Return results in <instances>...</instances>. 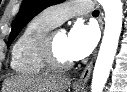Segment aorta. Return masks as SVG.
Here are the masks:
<instances>
[{
	"mask_svg": "<svg viewBox=\"0 0 127 92\" xmlns=\"http://www.w3.org/2000/svg\"><path fill=\"white\" fill-rule=\"evenodd\" d=\"M105 12V30L95 63L91 92H102L112 68L122 30L121 0H98Z\"/></svg>",
	"mask_w": 127,
	"mask_h": 92,
	"instance_id": "aorta-1",
	"label": "aorta"
}]
</instances>
